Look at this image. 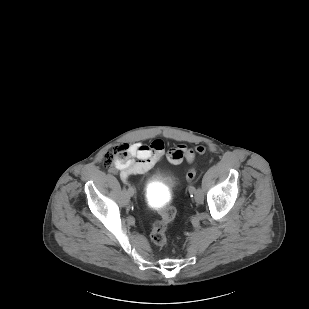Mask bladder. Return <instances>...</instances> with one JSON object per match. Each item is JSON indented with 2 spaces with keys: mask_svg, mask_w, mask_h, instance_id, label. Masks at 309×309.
Instances as JSON below:
<instances>
[{
  "mask_svg": "<svg viewBox=\"0 0 309 309\" xmlns=\"http://www.w3.org/2000/svg\"><path fill=\"white\" fill-rule=\"evenodd\" d=\"M166 183L165 177L157 173L154 178L148 179L144 184V197L149 205L160 206L167 195L162 185Z\"/></svg>",
  "mask_w": 309,
  "mask_h": 309,
  "instance_id": "31cf9c89",
  "label": "bladder"
}]
</instances>
